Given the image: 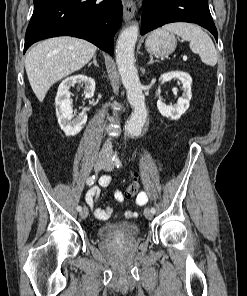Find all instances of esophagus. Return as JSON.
Here are the masks:
<instances>
[{"instance_id":"obj_1","label":"esophagus","mask_w":247,"mask_h":296,"mask_svg":"<svg viewBox=\"0 0 247 296\" xmlns=\"http://www.w3.org/2000/svg\"><path fill=\"white\" fill-rule=\"evenodd\" d=\"M136 11L135 3L131 0H127L123 4V19L125 22L130 21Z\"/></svg>"}]
</instances>
